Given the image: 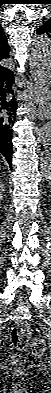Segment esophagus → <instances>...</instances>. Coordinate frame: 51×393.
<instances>
[{
  "label": "esophagus",
  "instance_id": "esophagus-1",
  "mask_svg": "<svg viewBox=\"0 0 51 393\" xmlns=\"http://www.w3.org/2000/svg\"><path fill=\"white\" fill-rule=\"evenodd\" d=\"M26 94H27L29 105L37 106L38 118L40 120L50 119L51 117L50 104L47 103L45 100L39 98L38 87L34 85L31 81H28L27 83Z\"/></svg>",
  "mask_w": 51,
  "mask_h": 393
}]
</instances>
